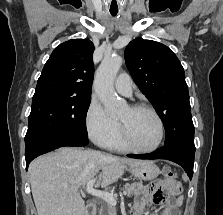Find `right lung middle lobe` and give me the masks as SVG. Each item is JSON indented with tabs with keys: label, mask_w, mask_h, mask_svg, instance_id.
Listing matches in <instances>:
<instances>
[{
	"label": "right lung middle lobe",
	"mask_w": 223,
	"mask_h": 215,
	"mask_svg": "<svg viewBox=\"0 0 223 215\" xmlns=\"http://www.w3.org/2000/svg\"><path fill=\"white\" fill-rule=\"evenodd\" d=\"M91 98L38 94L32 98L25 143L46 137L87 138L86 114Z\"/></svg>",
	"instance_id": "dd1d6c3e"
}]
</instances>
